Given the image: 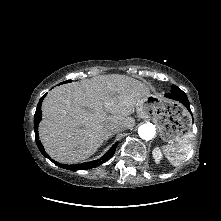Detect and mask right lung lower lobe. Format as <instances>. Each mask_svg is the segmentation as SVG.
<instances>
[{"instance_id":"obj_1","label":"right lung lower lobe","mask_w":221,"mask_h":221,"mask_svg":"<svg viewBox=\"0 0 221 221\" xmlns=\"http://www.w3.org/2000/svg\"><path fill=\"white\" fill-rule=\"evenodd\" d=\"M45 96H46V94L41 97V99L37 105V109H36V112L34 115V131H35V140H36L37 147L46 158L50 159L54 164H56L59 167L64 168V169L86 170V169H91V168H95V167L99 166L100 164L109 160L114 155L116 147H117V143H115L102 158H100L99 160H96V161H91V162H86V163H81V164H76V165L60 164V163H57L56 161H53L48 156V154L45 152V150L39 140V134H38V124L42 119L41 103H42L43 99L45 98Z\"/></svg>"}]
</instances>
